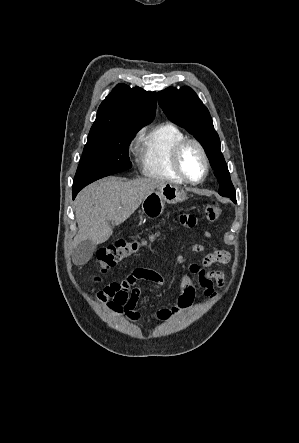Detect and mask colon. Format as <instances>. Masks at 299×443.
Returning <instances> with one entry per match:
<instances>
[{
    "label": "colon",
    "instance_id": "1",
    "mask_svg": "<svg viewBox=\"0 0 299 443\" xmlns=\"http://www.w3.org/2000/svg\"><path fill=\"white\" fill-rule=\"evenodd\" d=\"M222 214V209L217 201H212L206 207L205 218L208 222H216ZM143 242L120 238L113 244L105 246L97 252V260L99 262L102 274L114 268L123 259H126L138 252Z\"/></svg>",
    "mask_w": 299,
    "mask_h": 443
}]
</instances>
